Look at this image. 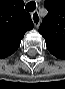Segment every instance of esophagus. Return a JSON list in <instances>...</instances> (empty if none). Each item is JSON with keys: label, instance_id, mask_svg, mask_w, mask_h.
<instances>
[{"label": "esophagus", "instance_id": "1", "mask_svg": "<svg viewBox=\"0 0 65 89\" xmlns=\"http://www.w3.org/2000/svg\"><path fill=\"white\" fill-rule=\"evenodd\" d=\"M32 21L36 27L40 25L41 18L39 16V13L37 11H34L31 13Z\"/></svg>", "mask_w": 65, "mask_h": 89}]
</instances>
